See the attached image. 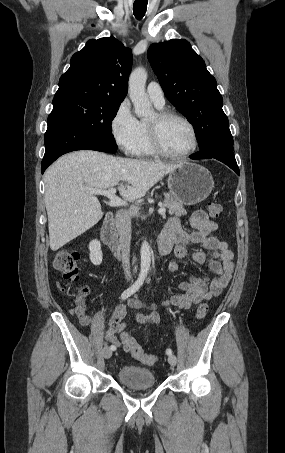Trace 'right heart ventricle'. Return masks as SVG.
I'll return each instance as SVG.
<instances>
[{
	"instance_id": "1",
	"label": "right heart ventricle",
	"mask_w": 285,
	"mask_h": 453,
	"mask_svg": "<svg viewBox=\"0 0 285 453\" xmlns=\"http://www.w3.org/2000/svg\"><path fill=\"white\" fill-rule=\"evenodd\" d=\"M158 108H162V107H158ZM135 155L140 156V157H151V156L156 155V152L153 150V148L150 144L148 130H147V123L144 121L140 122V136H139V141L137 144Z\"/></svg>"
}]
</instances>
